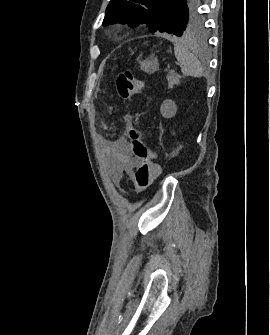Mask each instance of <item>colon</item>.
I'll use <instances>...</instances> for the list:
<instances>
[{
    "label": "colon",
    "mask_w": 270,
    "mask_h": 335,
    "mask_svg": "<svg viewBox=\"0 0 270 335\" xmlns=\"http://www.w3.org/2000/svg\"><path fill=\"white\" fill-rule=\"evenodd\" d=\"M144 88V82L136 77L131 70H124L117 76V90L122 99L135 97L141 93ZM131 142L133 156L138 164L132 173V181L139 191L146 190L154 181L158 173V167L152 161L151 155L140 140L141 133L135 128L128 132Z\"/></svg>",
    "instance_id": "obj_1"
}]
</instances>
